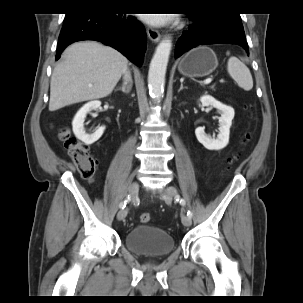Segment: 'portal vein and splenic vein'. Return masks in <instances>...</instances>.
<instances>
[{"mask_svg": "<svg viewBox=\"0 0 303 303\" xmlns=\"http://www.w3.org/2000/svg\"><path fill=\"white\" fill-rule=\"evenodd\" d=\"M212 82V79L211 78H207L205 81H204V84H210Z\"/></svg>", "mask_w": 303, "mask_h": 303, "instance_id": "1", "label": "portal vein and splenic vein"}]
</instances>
